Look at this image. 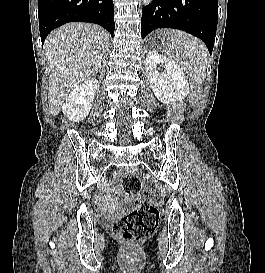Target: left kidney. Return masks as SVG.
Wrapping results in <instances>:
<instances>
[{
    "mask_svg": "<svg viewBox=\"0 0 265 273\" xmlns=\"http://www.w3.org/2000/svg\"><path fill=\"white\" fill-rule=\"evenodd\" d=\"M146 73L156 98L164 104L182 101L189 94V83L178 64L159 54L150 51L146 57ZM165 68L158 71V65Z\"/></svg>",
    "mask_w": 265,
    "mask_h": 273,
    "instance_id": "5707ae66",
    "label": "left kidney"
}]
</instances>
